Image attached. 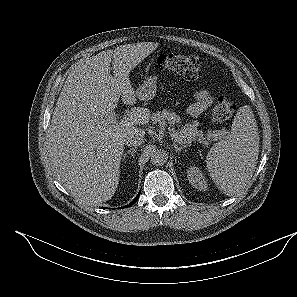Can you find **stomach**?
Segmentation results:
<instances>
[{"instance_id":"0dacf381","label":"stomach","mask_w":297,"mask_h":297,"mask_svg":"<svg viewBox=\"0 0 297 297\" xmlns=\"http://www.w3.org/2000/svg\"><path fill=\"white\" fill-rule=\"evenodd\" d=\"M157 76L147 77L136 91V95L141 100H150L156 95Z\"/></svg>"}]
</instances>
